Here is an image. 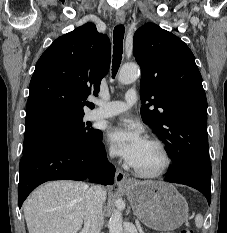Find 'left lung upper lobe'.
<instances>
[{
    "label": "left lung upper lobe",
    "instance_id": "obj_1",
    "mask_svg": "<svg viewBox=\"0 0 227 233\" xmlns=\"http://www.w3.org/2000/svg\"><path fill=\"white\" fill-rule=\"evenodd\" d=\"M133 54L142 71L141 102H147L141 117L167 147L168 172L211 174L207 100L192 51L174 34L148 23L134 34Z\"/></svg>",
    "mask_w": 227,
    "mask_h": 233
}]
</instances>
